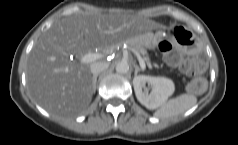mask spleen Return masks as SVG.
<instances>
[{
	"mask_svg": "<svg viewBox=\"0 0 238 145\" xmlns=\"http://www.w3.org/2000/svg\"><path fill=\"white\" fill-rule=\"evenodd\" d=\"M196 103L197 97L195 95L189 93L181 94L162 103L154 113V116L160 119L178 116L191 109Z\"/></svg>",
	"mask_w": 238,
	"mask_h": 145,
	"instance_id": "obj_1",
	"label": "spleen"
}]
</instances>
